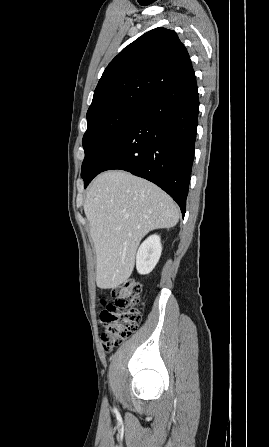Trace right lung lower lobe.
<instances>
[{
    "instance_id": "98d812e1",
    "label": "right lung lower lobe",
    "mask_w": 269,
    "mask_h": 447,
    "mask_svg": "<svg viewBox=\"0 0 269 447\" xmlns=\"http://www.w3.org/2000/svg\"><path fill=\"white\" fill-rule=\"evenodd\" d=\"M142 105L91 165L85 188L100 172L126 170L161 187L184 216L199 110L193 68Z\"/></svg>"
}]
</instances>
